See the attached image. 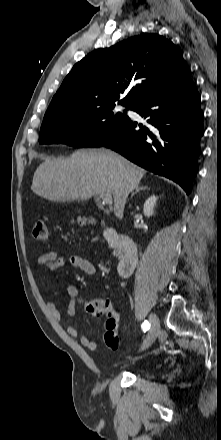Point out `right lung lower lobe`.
<instances>
[{
    "mask_svg": "<svg viewBox=\"0 0 221 440\" xmlns=\"http://www.w3.org/2000/svg\"><path fill=\"white\" fill-rule=\"evenodd\" d=\"M132 110L148 118L149 125L128 119L102 146L173 180L189 194L198 171L204 132L200 95L194 82L189 79L181 86L147 97Z\"/></svg>",
    "mask_w": 221,
    "mask_h": 440,
    "instance_id": "right-lung-lower-lobe-1",
    "label": "right lung lower lobe"
}]
</instances>
